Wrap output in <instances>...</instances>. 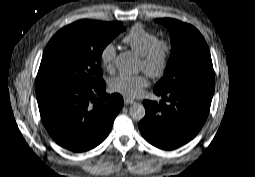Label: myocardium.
<instances>
[{"label": "myocardium", "instance_id": "obj_1", "mask_svg": "<svg viewBox=\"0 0 255 177\" xmlns=\"http://www.w3.org/2000/svg\"><path fill=\"white\" fill-rule=\"evenodd\" d=\"M161 52L160 59L156 62L157 53ZM172 43L167 39H158L141 56L145 65L144 72L151 78L162 76L170 62Z\"/></svg>", "mask_w": 255, "mask_h": 177}]
</instances>
